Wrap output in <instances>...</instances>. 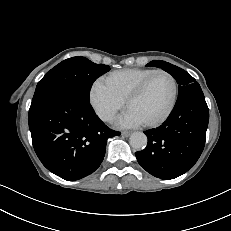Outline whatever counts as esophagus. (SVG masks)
Masks as SVG:
<instances>
[{
    "mask_svg": "<svg viewBox=\"0 0 231 231\" xmlns=\"http://www.w3.org/2000/svg\"><path fill=\"white\" fill-rule=\"evenodd\" d=\"M131 134L130 131H123L122 136L128 137Z\"/></svg>",
    "mask_w": 231,
    "mask_h": 231,
    "instance_id": "1",
    "label": "esophagus"
}]
</instances>
